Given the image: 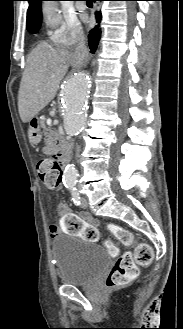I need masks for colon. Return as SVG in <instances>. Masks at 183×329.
Instances as JSON below:
<instances>
[{"label":"colon","instance_id":"1","mask_svg":"<svg viewBox=\"0 0 183 329\" xmlns=\"http://www.w3.org/2000/svg\"><path fill=\"white\" fill-rule=\"evenodd\" d=\"M42 183L51 191H59L62 184L63 170L59 161L54 157L42 158L37 164ZM64 220H81L74 216V219ZM115 237L125 246H131L134 243L133 235L118 226L110 227ZM104 246L111 255H117L118 249L115 244L109 240L104 242ZM152 261V249L145 243H139L135 246L133 253L126 252L119 256L113 265L106 285L108 288L121 287L136 278L138 274L137 265H149Z\"/></svg>","mask_w":183,"mask_h":329}]
</instances>
